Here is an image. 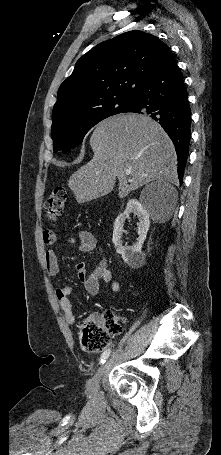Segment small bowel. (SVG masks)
<instances>
[{
	"instance_id": "1",
	"label": "small bowel",
	"mask_w": 221,
	"mask_h": 455,
	"mask_svg": "<svg viewBox=\"0 0 221 455\" xmlns=\"http://www.w3.org/2000/svg\"><path fill=\"white\" fill-rule=\"evenodd\" d=\"M56 242V234L52 229H46L43 232V243L48 247L45 251V264L50 276H56L59 273L58 256L53 248ZM65 243L77 245L81 252H90L96 250L98 258L93 271L87 274L85 265L82 262L76 264L77 274L80 281L84 284L85 290L90 295L98 294L101 283H107L113 292L120 291V284L114 279L113 274L108 268L107 252L103 245L99 244L92 233L86 230H80L77 236L67 237ZM72 288L68 285L56 288V297L59 306L64 314L66 323L73 327L76 322L73 313L70 296Z\"/></svg>"
}]
</instances>
